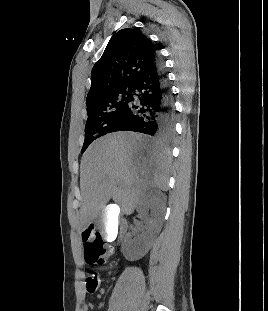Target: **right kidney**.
<instances>
[{
    "label": "right kidney",
    "mask_w": 268,
    "mask_h": 311,
    "mask_svg": "<svg viewBox=\"0 0 268 311\" xmlns=\"http://www.w3.org/2000/svg\"><path fill=\"white\" fill-rule=\"evenodd\" d=\"M165 204L166 196L157 189H151L140 199L137 211L139 218L145 220V224L141 226V234L136 239H131V233L126 235L122 250L127 260H138L149 251L161 230L166 210Z\"/></svg>",
    "instance_id": "ca27d5eb"
}]
</instances>
